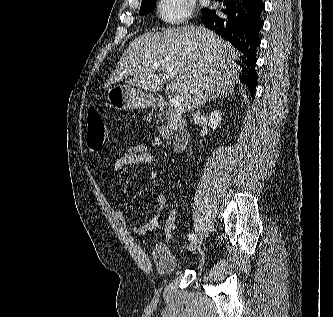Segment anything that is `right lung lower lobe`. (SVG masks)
Masks as SVG:
<instances>
[{"label":"right lung lower lobe","mask_w":333,"mask_h":317,"mask_svg":"<svg viewBox=\"0 0 333 317\" xmlns=\"http://www.w3.org/2000/svg\"><path fill=\"white\" fill-rule=\"evenodd\" d=\"M224 4L227 8L222 12L226 17L220 18L215 10L206 8L202 10V19L207 28L216 31L246 56L239 77L254 98L257 86L255 51L261 43L259 31L264 23L260 15L265 6L262 0H225Z\"/></svg>","instance_id":"right-lung-lower-lobe-1"}]
</instances>
